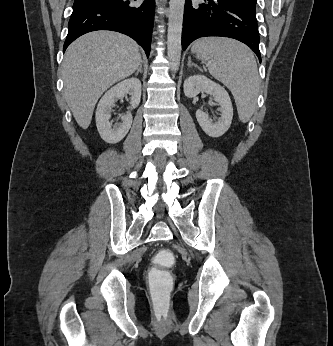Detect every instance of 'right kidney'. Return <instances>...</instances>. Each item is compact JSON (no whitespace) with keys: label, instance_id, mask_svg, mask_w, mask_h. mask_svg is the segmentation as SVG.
Here are the masks:
<instances>
[{"label":"right kidney","instance_id":"right-kidney-1","mask_svg":"<svg viewBox=\"0 0 333 346\" xmlns=\"http://www.w3.org/2000/svg\"><path fill=\"white\" fill-rule=\"evenodd\" d=\"M130 95L131 109L138 107L141 99V82L137 78L126 79L111 89L101 98L96 109V126L101 138L111 144L121 141L132 125V115L127 113L121 117L122 123L112 127L110 123V113L113 111L115 102Z\"/></svg>","mask_w":333,"mask_h":346}]
</instances>
